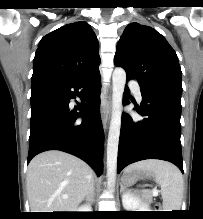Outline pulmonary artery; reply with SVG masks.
<instances>
[{
    "mask_svg": "<svg viewBox=\"0 0 203 219\" xmlns=\"http://www.w3.org/2000/svg\"><path fill=\"white\" fill-rule=\"evenodd\" d=\"M129 87L133 90V92H134L136 98H137L138 100H141V99H142V96H141V91H140V86H139V84H138L136 81L131 80V81H129Z\"/></svg>",
    "mask_w": 203,
    "mask_h": 219,
    "instance_id": "e3ab8cb5",
    "label": "pulmonary artery"
}]
</instances>
